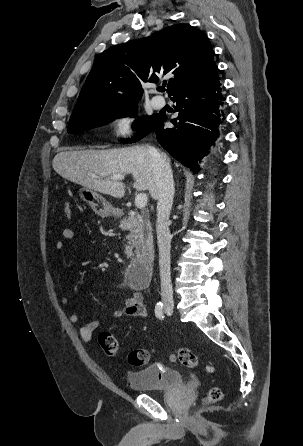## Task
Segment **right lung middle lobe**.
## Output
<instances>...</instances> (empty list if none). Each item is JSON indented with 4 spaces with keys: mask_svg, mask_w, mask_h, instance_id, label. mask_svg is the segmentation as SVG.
<instances>
[{
    "mask_svg": "<svg viewBox=\"0 0 303 446\" xmlns=\"http://www.w3.org/2000/svg\"><path fill=\"white\" fill-rule=\"evenodd\" d=\"M137 102L138 101L123 106H102L87 113L71 116L68 126V132L77 134L87 129L105 125L110 119L109 115H112L115 118L126 116L134 117L137 113ZM160 116V114H153L149 118L145 117L140 121L137 120L135 124V127L138 130L136 137L125 140L124 142L133 143L149 134L156 127Z\"/></svg>",
    "mask_w": 303,
    "mask_h": 446,
    "instance_id": "dd1d6c3e",
    "label": "right lung middle lobe"
}]
</instances>
